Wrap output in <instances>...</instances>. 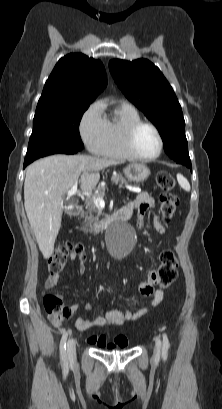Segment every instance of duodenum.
Returning a JSON list of instances; mask_svg holds the SVG:
<instances>
[{
  "label": "duodenum",
  "mask_w": 222,
  "mask_h": 409,
  "mask_svg": "<svg viewBox=\"0 0 222 409\" xmlns=\"http://www.w3.org/2000/svg\"><path fill=\"white\" fill-rule=\"evenodd\" d=\"M82 211V207L80 205H74L70 208V213L74 216L80 214ZM131 216V213L124 209L121 208L120 210L114 212L110 217L107 219H103L102 221L99 222L98 224V231H103L104 228L115 221H126L129 217Z\"/></svg>",
  "instance_id": "1"
}]
</instances>
